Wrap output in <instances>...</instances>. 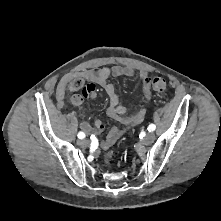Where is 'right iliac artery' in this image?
Wrapping results in <instances>:
<instances>
[{
  "label": "right iliac artery",
  "instance_id": "82829eb1",
  "mask_svg": "<svg viewBox=\"0 0 221 221\" xmlns=\"http://www.w3.org/2000/svg\"><path fill=\"white\" fill-rule=\"evenodd\" d=\"M77 136H78L79 139L85 138L84 132H79Z\"/></svg>",
  "mask_w": 221,
  "mask_h": 221
}]
</instances>
